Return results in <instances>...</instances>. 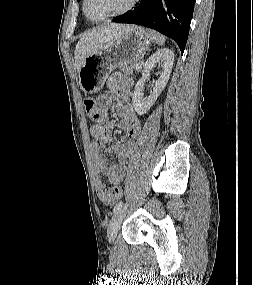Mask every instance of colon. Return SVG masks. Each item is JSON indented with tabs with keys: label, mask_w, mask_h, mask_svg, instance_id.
<instances>
[{
	"label": "colon",
	"mask_w": 253,
	"mask_h": 285,
	"mask_svg": "<svg viewBox=\"0 0 253 285\" xmlns=\"http://www.w3.org/2000/svg\"><path fill=\"white\" fill-rule=\"evenodd\" d=\"M84 106L86 109V112L88 114V116L92 115L95 107H96V103L92 98H86L84 100ZM115 191L116 193L120 194L122 192V188L121 187H115Z\"/></svg>",
	"instance_id": "5ec220e1"
}]
</instances>
